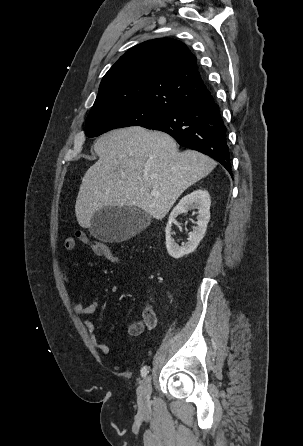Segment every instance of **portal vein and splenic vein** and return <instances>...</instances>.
Here are the masks:
<instances>
[{
	"instance_id": "1",
	"label": "portal vein and splenic vein",
	"mask_w": 303,
	"mask_h": 446,
	"mask_svg": "<svg viewBox=\"0 0 303 446\" xmlns=\"http://www.w3.org/2000/svg\"><path fill=\"white\" fill-rule=\"evenodd\" d=\"M151 193H152V195H154V196H158V195H159V192L156 191V190H152Z\"/></svg>"
}]
</instances>
